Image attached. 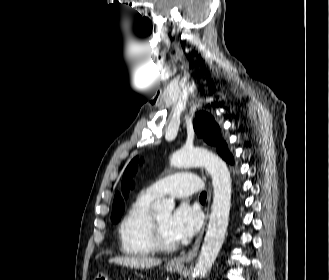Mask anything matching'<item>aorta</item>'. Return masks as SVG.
<instances>
[{"label": "aorta", "mask_w": 329, "mask_h": 280, "mask_svg": "<svg viewBox=\"0 0 329 280\" xmlns=\"http://www.w3.org/2000/svg\"><path fill=\"white\" fill-rule=\"evenodd\" d=\"M175 168L204 167L212 177L213 203L200 255L193 275L205 277L217 258L228 226L231 207V177L226 163L215 154L197 148L181 149L170 158ZM175 207L173 200L163 199L154 205L157 215H170Z\"/></svg>", "instance_id": "762f6f07"}]
</instances>
